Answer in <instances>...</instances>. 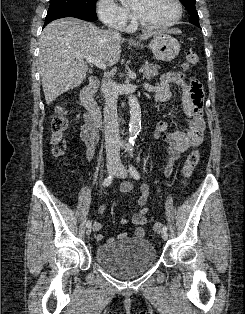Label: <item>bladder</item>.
I'll return each mask as SVG.
<instances>
[{"mask_svg":"<svg viewBox=\"0 0 245 314\" xmlns=\"http://www.w3.org/2000/svg\"><path fill=\"white\" fill-rule=\"evenodd\" d=\"M155 247L144 238L105 242L97 246L95 260L109 272L131 277L145 272L156 261Z\"/></svg>","mask_w":245,"mask_h":314,"instance_id":"31cf9c89","label":"bladder"}]
</instances>
